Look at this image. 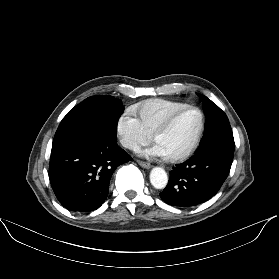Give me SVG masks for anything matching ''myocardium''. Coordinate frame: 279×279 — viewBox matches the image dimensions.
Wrapping results in <instances>:
<instances>
[{
	"label": "myocardium",
	"instance_id": "f54148a6",
	"mask_svg": "<svg viewBox=\"0 0 279 279\" xmlns=\"http://www.w3.org/2000/svg\"><path fill=\"white\" fill-rule=\"evenodd\" d=\"M186 110H194L198 113V115H199V127L197 129V132H196L191 144L189 145V147L184 152H182L181 154L175 155V156L167 157L168 160L171 161V162H181V161L187 159L188 157H190L192 155V153L197 148V146L200 142L203 130H204L205 120H204L203 112L201 111L200 108H198L196 106H193V105L183 106V107L175 110L174 112H172L165 119V121L153 133V140L156 141V139L159 136L166 133L171 128V126L174 123V121L176 120V118Z\"/></svg>",
	"mask_w": 279,
	"mask_h": 279
}]
</instances>
